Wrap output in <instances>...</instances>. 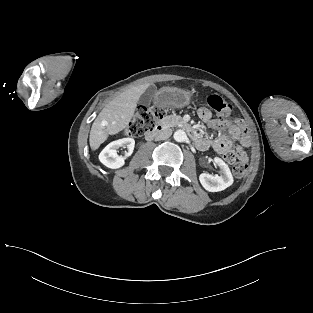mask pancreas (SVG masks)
I'll return each instance as SVG.
<instances>
[{"instance_id":"1","label":"pancreas","mask_w":313,"mask_h":313,"mask_svg":"<svg viewBox=\"0 0 313 313\" xmlns=\"http://www.w3.org/2000/svg\"><path fill=\"white\" fill-rule=\"evenodd\" d=\"M163 123L169 127L183 124V119L179 115H168L163 119Z\"/></svg>"}]
</instances>
